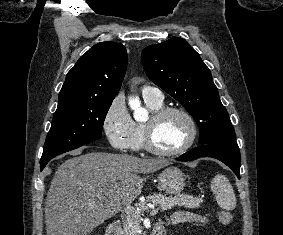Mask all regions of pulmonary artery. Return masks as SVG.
<instances>
[{
	"label": "pulmonary artery",
	"mask_w": 283,
	"mask_h": 235,
	"mask_svg": "<svg viewBox=\"0 0 283 235\" xmlns=\"http://www.w3.org/2000/svg\"><path fill=\"white\" fill-rule=\"evenodd\" d=\"M142 95H143V98L145 99H154L158 101L163 100V94L161 90L157 87L144 86L142 88Z\"/></svg>",
	"instance_id": "obj_1"
}]
</instances>
